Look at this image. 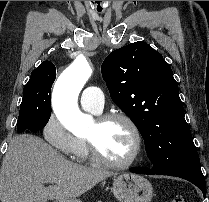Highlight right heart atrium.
<instances>
[{"label": "right heart atrium", "instance_id": "1", "mask_svg": "<svg viewBox=\"0 0 209 202\" xmlns=\"http://www.w3.org/2000/svg\"><path fill=\"white\" fill-rule=\"evenodd\" d=\"M43 136L51 146L66 156L73 155L80 142L79 138L64 128L54 114L48 117L43 127Z\"/></svg>", "mask_w": 209, "mask_h": 202}]
</instances>
